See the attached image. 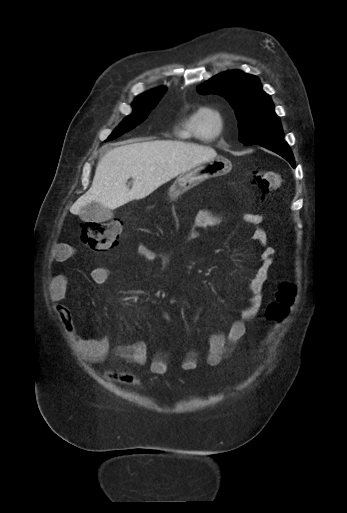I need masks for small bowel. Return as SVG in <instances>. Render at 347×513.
I'll use <instances>...</instances> for the list:
<instances>
[{"label": "small bowel", "instance_id": "1", "mask_svg": "<svg viewBox=\"0 0 347 513\" xmlns=\"http://www.w3.org/2000/svg\"><path fill=\"white\" fill-rule=\"evenodd\" d=\"M226 214L221 211L211 209L201 210L195 221V225L188 231L184 237V241H192L202 237L201 230L208 227L219 225L226 219ZM243 221L247 225L254 228L252 239L260 246V264L256 269L254 277L250 280L246 287V291L250 296L249 304L243 308L239 315L240 318L231 323L227 332L215 329L208 338V349L206 355V363L211 366H217L226 360L233 352L235 346L240 342L247 333L246 321L255 318L261 308L262 298L261 292L268 281L269 270L274 261L275 249L269 245L267 232L261 227L263 217L258 213H249L243 216ZM70 247L64 244H58L51 251L50 260L53 263L66 261L70 257ZM156 259L154 251L146 246H139L135 252V260L138 262H152ZM164 267L167 268L170 262V253L166 252L162 255ZM111 270L108 267H97L91 270L90 276L94 283L103 284L109 276ZM68 281L64 274H55L50 278L48 292L53 302L59 303L64 299L67 291ZM56 311L60 315L65 329L70 333L72 341L80 355V357L89 363L104 362L111 351L118 359L124 363L135 366H143L148 362L147 344L143 340L135 341L128 345L118 346L112 350L107 336L98 339L83 338L79 336L73 328L70 311L67 307L58 304ZM169 357L166 352H156L149 364L151 372L155 374H163L168 371ZM198 366V353L196 351L187 352L180 364L184 371H192ZM125 384L136 383V375L134 373L111 374Z\"/></svg>", "mask_w": 347, "mask_h": 513}]
</instances>
